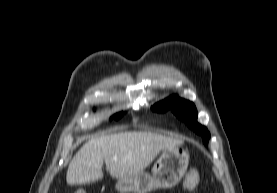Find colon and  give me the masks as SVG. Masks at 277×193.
<instances>
[{
  "mask_svg": "<svg viewBox=\"0 0 277 193\" xmlns=\"http://www.w3.org/2000/svg\"><path fill=\"white\" fill-rule=\"evenodd\" d=\"M200 181V174L197 170H191L182 186L183 193H190L193 191ZM75 193H87L85 190H77Z\"/></svg>",
  "mask_w": 277,
  "mask_h": 193,
  "instance_id": "5ec220e1",
  "label": "colon"
}]
</instances>
